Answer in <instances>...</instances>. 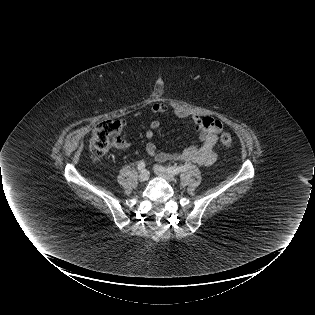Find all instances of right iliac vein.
Returning <instances> with one entry per match:
<instances>
[{
    "instance_id": "1",
    "label": "right iliac vein",
    "mask_w": 315,
    "mask_h": 315,
    "mask_svg": "<svg viewBox=\"0 0 315 315\" xmlns=\"http://www.w3.org/2000/svg\"><path fill=\"white\" fill-rule=\"evenodd\" d=\"M149 171H147V170H142L141 172H140V175H139V180L141 181V182H145V181H147L148 179H149Z\"/></svg>"
}]
</instances>
